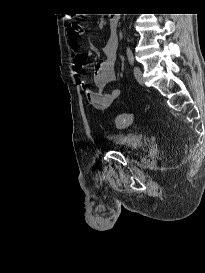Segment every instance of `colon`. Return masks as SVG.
<instances>
[{"mask_svg":"<svg viewBox=\"0 0 205 273\" xmlns=\"http://www.w3.org/2000/svg\"><path fill=\"white\" fill-rule=\"evenodd\" d=\"M82 26L78 23H71L68 26L69 36H79L82 33ZM113 123L118 128H124L132 123V116L130 114H123L114 117Z\"/></svg>","mask_w":205,"mask_h":273,"instance_id":"1","label":"colon"}]
</instances>
